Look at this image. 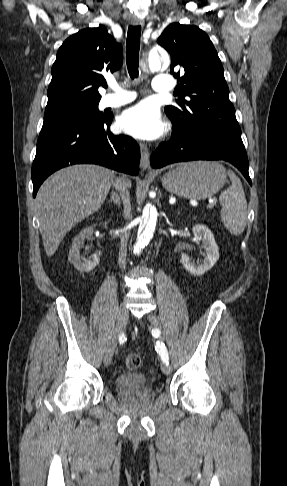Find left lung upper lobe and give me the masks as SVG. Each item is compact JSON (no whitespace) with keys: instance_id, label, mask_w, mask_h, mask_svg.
I'll list each match as a JSON object with an SVG mask.
<instances>
[{"instance_id":"1","label":"left lung upper lobe","mask_w":287,"mask_h":486,"mask_svg":"<svg viewBox=\"0 0 287 486\" xmlns=\"http://www.w3.org/2000/svg\"><path fill=\"white\" fill-rule=\"evenodd\" d=\"M158 44L170 53L171 73L180 82L178 101L165 107L172 123L241 137L223 66L208 35L197 26L172 23Z\"/></svg>"}]
</instances>
